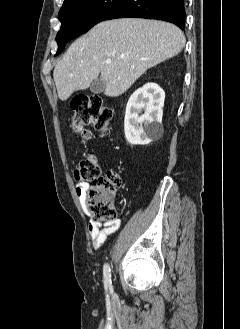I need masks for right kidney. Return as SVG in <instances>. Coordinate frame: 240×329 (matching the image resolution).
Listing matches in <instances>:
<instances>
[{
    "label": "right kidney",
    "instance_id": "obj_1",
    "mask_svg": "<svg viewBox=\"0 0 240 329\" xmlns=\"http://www.w3.org/2000/svg\"><path fill=\"white\" fill-rule=\"evenodd\" d=\"M164 99L163 89L155 83H147L131 95L124 120L125 137L129 144L147 145L163 134Z\"/></svg>",
    "mask_w": 240,
    "mask_h": 329
}]
</instances>
